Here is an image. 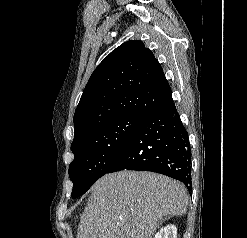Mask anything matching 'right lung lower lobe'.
Returning <instances> with one entry per match:
<instances>
[{"instance_id":"1","label":"right lung lower lobe","mask_w":247,"mask_h":238,"mask_svg":"<svg viewBox=\"0 0 247 238\" xmlns=\"http://www.w3.org/2000/svg\"><path fill=\"white\" fill-rule=\"evenodd\" d=\"M145 170L167 175L191 189V150L175 104L147 114L106 173Z\"/></svg>"}]
</instances>
